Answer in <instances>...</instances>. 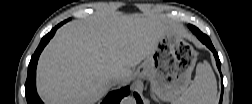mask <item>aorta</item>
I'll list each match as a JSON object with an SVG mask.
<instances>
[{
    "instance_id": "obj_1",
    "label": "aorta",
    "mask_w": 252,
    "mask_h": 104,
    "mask_svg": "<svg viewBox=\"0 0 252 104\" xmlns=\"http://www.w3.org/2000/svg\"><path fill=\"white\" fill-rule=\"evenodd\" d=\"M123 103L124 104H134L135 103V99L131 96H127L123 99Z\"/></svg>"
}]
</instances>
